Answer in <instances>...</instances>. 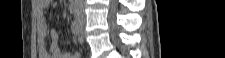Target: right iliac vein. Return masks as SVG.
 <instances>
[{
    "mask_svg": "<svg viewBox=\"0 0 225 58\" xmlns=\"http://www.w3.org/2000/svg\"><path fill=\"white\" fill-rule=\"evenodd\" d=\"M78 24L80 25V27L82 28L83 27V25H84V22L83 21H81V20H79L78 21Z\"/></svg>",
    "mask_w": 225,
    "mask_h": 58,
    "instance_id": "right-iliac-vein-1",
    "label": "right iliac vein"
}]
</instances>
